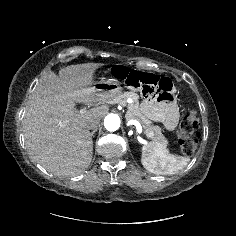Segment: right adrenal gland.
Wrapping results in <instances>:
<instances>
[{"label": "right adrenal gland", "instance_id": "1", "mask_svg": "<svg viewBox=\"0 0 236 236\" xmlns=\"http://www.w3.org/2000/svg\"><path fill=\"white\" fill-rule=\"evenodd\" d=\"M95 132H96V130H94V131L91 132V136H92V138H94V134H95Z\"/></svg>", "mask_w": 236, "mask_h": 236}]
</instances>
